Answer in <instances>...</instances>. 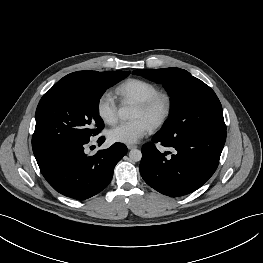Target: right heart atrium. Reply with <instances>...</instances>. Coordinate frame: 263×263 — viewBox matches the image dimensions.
<instances>
[{"instance_id":"right-heart-atrium-1","label":"right heart atrium","mask_w":263,"mask_h":263,"mask_svg":"<svg viewBox=\"0 0 263 263\" xmlns=\"http://www.w3.org/2000/svg\"><path fill=\"white\" fill-rule=\"evenodd\" d=\"M97 113L106 124H113L118 118V106L113 95L109 92L103 93L96 105Z\"/></svg>"}]
</instances>
